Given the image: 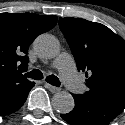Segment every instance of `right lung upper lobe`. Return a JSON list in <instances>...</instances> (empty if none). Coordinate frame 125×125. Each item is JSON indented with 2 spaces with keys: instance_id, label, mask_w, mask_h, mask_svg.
Instances as JSON below:
<instances>
[{
  "instance_id": "1",
  "label": "right lung upper lobe",
  "mask_w": 125,
  "mask_h": 125,
  "mask_svg": "<svg viewBox=\"0 0 125 125\" xmlns=\"http://www.w3.org/2000/svg\"><path fill=\"white\" fill-rule=\"evenodd\" d=\"M57 24L56 16L34 13H0V89L12 83L29 82V45L41 33Z\"/></svg>"
}]
</instances>
